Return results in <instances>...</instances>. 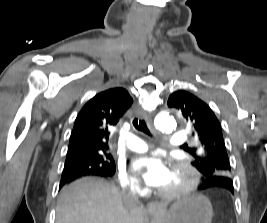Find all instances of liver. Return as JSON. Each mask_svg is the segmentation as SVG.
I'll return each mask as SVG.
<instances>
[{"instance_id":"6515ba94","label":"liver","mask_w":267,"mask_h":223,"mask_svg":"<svg viewBox=\"0 0 267 223\" xmlns=\"http://www.w3.org/2000/svg\"><path fill=\"white\" fill-rule=\"evenodd\" d=\"M56 223H144V211L127 207L115 185L86 177L61 190Z\"/></svg>"}]
</instances>
